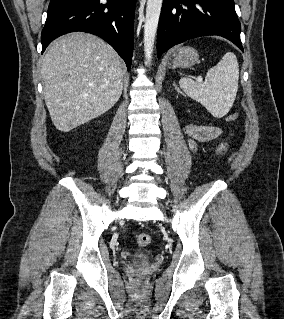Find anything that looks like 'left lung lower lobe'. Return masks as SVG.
<instances>
[{"mask_svg":"<svg viewBox=\"0 0 284 319\" xmlns=\"http://www.w3.org/2000/svg\"><path fill=\"white\" fill-rule=\"evenodd\" d=\"M234 0H163L157 34L158 58L186 40L218 35L243 50Z\"/></svg>","mask_w":284,"mask_h":319,"instance_id":"0a47b994","label":"left lung lower lobe"}]
</instances>
